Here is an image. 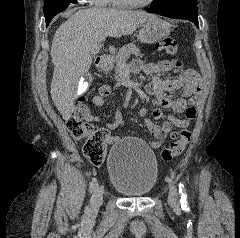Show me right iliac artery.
<instances>
[{
	"instance_id": "right-iliac-artery-1",
	"label": "right iliac artery",
	"mask_w": 240,
	"mask_h": 238,
	"mask_svg": "<svg viewBox=\"0 0 240 238\" xmlns=\"http://www.w3.org/2000/svg\"><path fill=\"white\" fill-rule=\"evenodd\" d=\"M96 181H95V179H93L92 180V182L90 183V186H89V191L90 192H93L94 191V189H95V187H96Z\"/></svg>"
}]
</instances>
